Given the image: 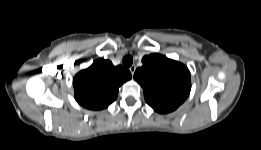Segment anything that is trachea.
Here are the masks:
<instances>
[{
  "label": "trachea",
  "mask_w": 261,
  "mask_h": 150,
  "mask_svg": "<svg viewBox=\"0 0 261 150\" xmlns=\"http://www.w3.org/2000/svg\"><path fill=\"white\" fill-rule=\"evenodd\" d=\"M133 63V57L131 55H126L124 58H123V64L124 66L126 67H130Z\"/></svg>",
  "instance_id": "trachea-1"
}]
</instances>
